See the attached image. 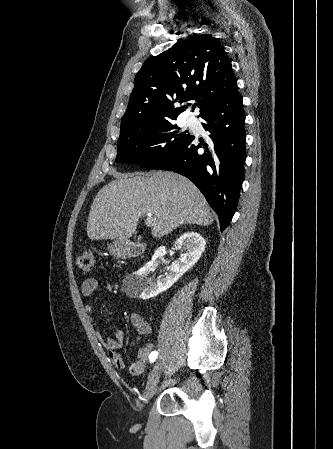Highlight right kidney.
<instances>
[{"label": "right kidney", "mask_w": 333, "mask_h": 449, "mask_svg": "<svg viewBox=\"0 0 333 449\" xmlns=\"http://www.w3.org/2000/svg\"><path fill=\"white\" fill-rule=\"evenodd\" d=\"M205 246V239L197 232H187L180 236L175 242V247H184L185 253L182 254L178 260L173 262L170 270L164 277L159 276L157 280L153 281L149 279L148 276L155 270L157 258L166 254L165 246L159 247L152 256V260L135 273V282L137 284V294L139 298L144 300L153 298L169 289L197 263L204 252Z\"/></svg>", "instance_id": "1"}]
</instances>
